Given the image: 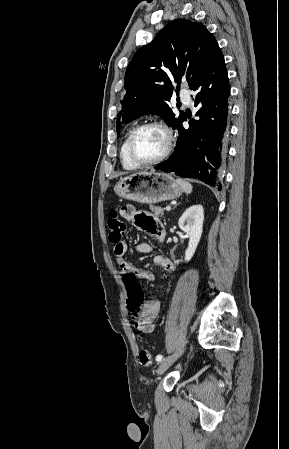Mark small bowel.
<instances>
[{
	"mask_svg": "<svg viewBox=\"0 0 289 449\" xmlns=\"http://www.w3.org/2000/svg\"><path fill=\"white\" fill-rule=\"evenodd\" d=\"M121 213L122 216L136 228L150 234L158 240L164 239V228L158 218L151 213L136 210L133 206L123 207ZM127 250L128 246L126 243H120L114 247V256L120 267L121 275L127 271L135 278L153 281L155 275L152 271L138 268L125 259ZM151 251L152 247L149 243H142L136 248V252L140 254H148L151 253ZM153 262L156 266L162 268L166 272H173L175 269L173 262L168 257L161 254L155 255L153 257ZM159 312V300L154 299L145 301L141 306L139 321L135 324L136 328L143 333H152L155 330V320L158 317Z\"/></svg>",
	"mask_w": 289,
	"mask_h": 449,
	"instance_id": "c3829d8e",
	"label": "small bowel"
}]
</instances>
